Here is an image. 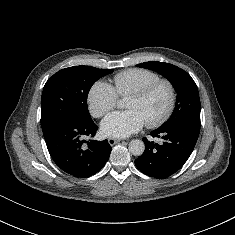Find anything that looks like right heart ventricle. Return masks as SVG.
Wrapping results in <instances>:
<instances>
[{
    "instance_id": "e07e8e85",
    "label": "right heart ventricle",
    "mask_w": 235,
    "mask_h": 235,
    "mask_svg": "<svg viewBox=\"0 0 235 235\" xmlns=\"http://www.w3.org/2000/svg\"><path fill=\"white\" fill-rule=\"evenodd\" d=\"M158 79V74L151 70L131 68L116 74L112 87L117 96L126 97Z\"/></svg>"
}]
</instances>
